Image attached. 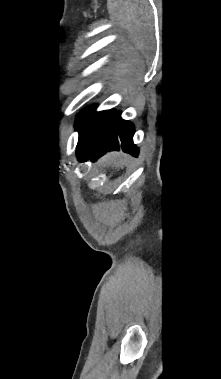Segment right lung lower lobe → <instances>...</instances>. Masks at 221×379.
Instances as JSON below:
<instances>
[{
    "mask_svg": "<svg viewBox=\"0 0 221 379\" xmlns=\"http://www.w3.org/2000/svg\"><path fill=\"white\" fill-rule=\"evenodd\" d=\"M133 135L134 126L128 121L121 120L118 112L95 143H78V160L85 161L89 157L96 160L106 152L119 150L120 147L123 151L137 156L138 149L133 144Z\"/></svg>",
    "mask_w": 221,
    "mask_h": 379,
    "instance_id": "1",
    "label": "right lung lower lobe"
}]
</instances>
